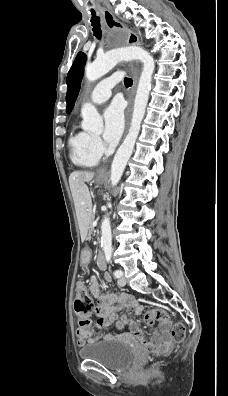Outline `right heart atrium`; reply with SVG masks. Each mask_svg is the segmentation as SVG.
I'll list each match as a JSON object with an SVG mask.
<instances>
[{"instance_id": "obj_1", "label": "right heart atrium", "mask_w": 228, "mask_h": 396, "mask_svg": "<svg viewBox=\"0 0 228 396\" xmlns=\"http://www.w3.org/2000/svg\"><path fill=\"white\" fill-rule=\"evenodd\" d=\"M93 147L99 154H101L104 150L102 141L96 136H93Z\"/></svg>"}]
</instances>
